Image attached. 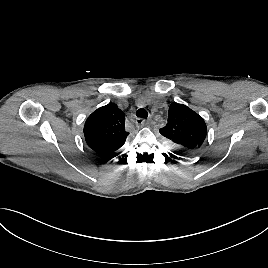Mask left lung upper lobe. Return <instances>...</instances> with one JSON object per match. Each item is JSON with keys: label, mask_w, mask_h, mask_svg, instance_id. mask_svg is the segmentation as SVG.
I'll return each instance as SVG.
<instances>
[{"label": "left lung upper lobe", "mask_w": 268, "mask_h": 268, "mask_svg": "<svg viewBox=\"0 0 268 268\" xmlns=\"http://www.w3.org/2000/svg\"><path fill=\"white\" fill-rule=\"evenodd\" d=\"M159 132L177 148L196 151L204 143L207 127L204 119L189 107L172 103L168 111L167 124Z\"/></svg>", "instance_id": "1"}]
</instances>
